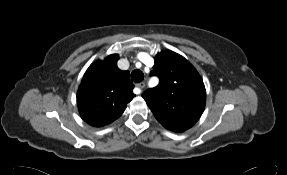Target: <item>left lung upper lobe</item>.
I'll return each mask as SVG.
<instances>
[{
	"mask_svg": "<svg viewBox=\"0 0 287 175\" xmlns=\"http://www.w3.org/2000/svg\"><path fill=\"white\" fill-rule=\"evenodd\" d=\"M153 68L151 75L161 81L142 97L155 118L174 132L191 128L202 115L206 100L205 86L197 70L170 50L156 55Z\"/></svg>",
	"mask_w": 287,
	"mask_h": 175,
	"instance_id": "5c2ea615",
	"label": "left lung upper lobe"
}]
</instances>
